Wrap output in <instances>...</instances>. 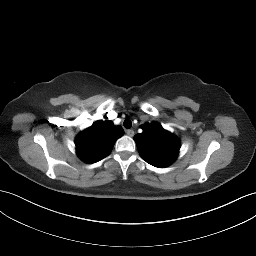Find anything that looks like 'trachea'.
Segmentation results:
<instances>
[{
    "mask_svg": "<svg viewBox=\"0 0 256 256\" xmlns=\"http://www.w3.org/2000/svg\"><path fill=\"white\" fill-rule=\"evenodd\" d=\"M124 127L130 129L132 127V122L129 119H126L123 123Z\"/></svg>",
    "mask_w": 256,
    "mask_h": 256,
    "instance_id": "obj_1",
    "label": "trachea"
}]
</instances>
